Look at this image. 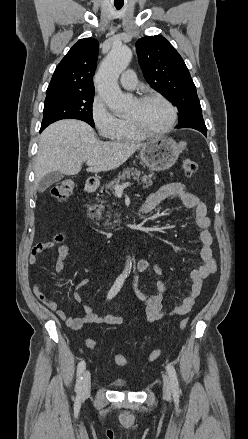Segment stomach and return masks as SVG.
<instances>
[{
  "label": "stomach",
  "instance_id": "0dacf381",
  "mask_svg": "<svg viewBox=\"0 0 248 439\" xmlns=\"http://www.w3.org/2000/svg\"><path fill=\"white\" fill-rule=\"evenodd\" d=\"M182 149V145L171 138H156L140 148V158L150 169L165 171L176 163Z\"/></svg>",
  "mask_w": 248,
  "mask_h": 439
}]
</instances>
